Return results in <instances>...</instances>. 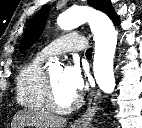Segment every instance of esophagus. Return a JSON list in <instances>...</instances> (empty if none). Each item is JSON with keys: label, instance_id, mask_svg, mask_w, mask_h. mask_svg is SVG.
<instances>
[{"label": "esophagus", "instance_id": "esophagus-1", "mask_svg": "<svg viewBox=\"0 0 142 128\" xmlns=\"http://www.w3.org/2000/svg\"><path fill=\"white\" fill-rule=\"evenodd\" d=\"M102 99L101 91L95 88L89 97L86 111L73 123V128H87L92 118L98 111V105Z\"/></svg>", "mask_w": 142, "mask_h": 128}]
</instances>
